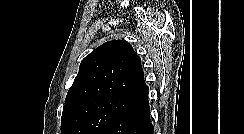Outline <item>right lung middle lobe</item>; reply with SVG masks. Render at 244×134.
<instances>
[{
  "label": "right lung middle lobe",
  "instance_id": "1",
  "mask_svg": "<svg viewBox=\"0 0 244 134\" xmlns=\"http://www.w3.org/2000/svg\"><path fill=\"white\" fill-rule=\"evenodd\" d=\"M131 102L125 98L105 97L80 103L61 119V134H102Z\"/></svg>",
  "mask_w": 244,
  "mask_h": 134
}]
</instances>
